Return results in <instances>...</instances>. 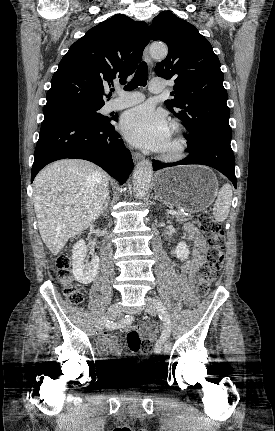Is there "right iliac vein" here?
Listing matches in <instances>:
<instances>
[{"label": "right iliac vein", "mask_w": 275, "mask_h": 431, "mask_svg": "<svg viewBox=\"0 0 275 431\" xmlns=\"http://www.w3.org/2000/svg\"><path fill=\"white\" fill-rule=\"evenodd\" d=\"M121 311V308L118 304H113L109 307L106 314L100 319V321L97 324V330L102 331L105 328L106 322L110 319H113L116 317Z\"/></svg>", "instance_id": "63e3f726"}]
</instances>
